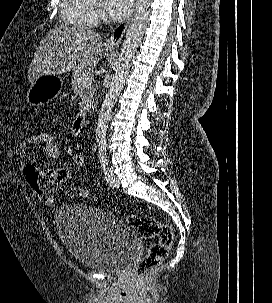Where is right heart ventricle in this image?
Wrapping results in <instances>:
<instances>
[{
    "mask_svg": "<svg viewBox=\"0 0 272 303\" xmlns=\"http://www.w3.org/2000/svg\"><path fill=\"white\" fill-rule=\"evenodd\" d=\"M92 0H62L60 20L63 24L75 27H87L94 23Z\"/></svg>",
    "mask_w": 272,
    "mask_h": 303,
    "instance_id": "right-heart-ventricle-1",
    "label": "right heart ventricle"
}]
</instances>
